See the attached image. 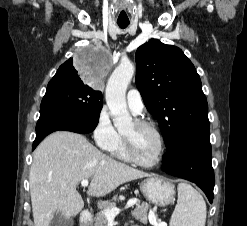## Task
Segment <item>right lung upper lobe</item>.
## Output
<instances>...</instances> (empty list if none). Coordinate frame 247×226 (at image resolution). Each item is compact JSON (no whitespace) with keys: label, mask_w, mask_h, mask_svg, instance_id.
Returning a JSON list of instances; mask_svg holds the SVG:
<instances>
[{"label":"right lung upper lobe","mask_w":247,"mask_h":226,"mask_svg":"<svg viewBox=\"0 0 247 226\" xmlns=\"http://www.w3.org/2000/svg\"><path fill=\"white\" fill-rule=\"evenodd\" d=\"M72 59L70 58V59H68L64 64H62L60 67H59V69H58V71L57 72H62V71H64V70H66V69H68V68H72Z\"/></svg>","instance_id":"cb5924a9"}]
</instances>
